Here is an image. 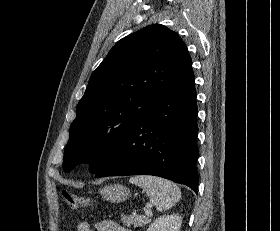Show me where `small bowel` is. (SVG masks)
I'll return each mask as SVG.
<instances>
[{
	"label": "small bowel",
	"mask_w": 280,
	"mask_h": 231,
	"mask_svg": "<svg viewBox=\"0 0 280 231\" xmlns=\"http://www.w3.org/2000/svg\"><path fill=\"white\" fill-rule=\"evenodd\" d=\"M97 231H124V229L113 221H99L95 224ZM77 231H92L91 225L87 221H82L77 225Z\"/></svg>",
	"instance_id": "c3829d8e"
}]
</instances>
